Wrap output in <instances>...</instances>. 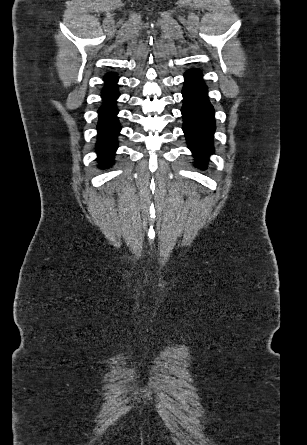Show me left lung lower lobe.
Instances as JSON below:
<instances>
[{
  "label": "left lung lower lobe",
  "instance_id": "1",
  "mask_svg": "<svg viewBox=\"0 0 307 445\" xmlns=\"http://www.w3.org/2000/svg\"><path fill=\"white\" fill-rule=\"evenodd\" d=\"M183 131L187 144L198 159L199 165L213 152V133L215 131L214 110L207 96V87L202 73L197 69L185 73L183 87Z\"/></svg>",
  "mask_w": 307,
  "mask_h": 445
}]
</instances>
